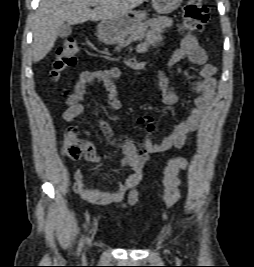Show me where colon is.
Returning <instances> with one entry per match:
<instances>
[{"label": "colon", "instance_id": "1", "mask_svg": "<svg viewBox=\"0 0 254 267\" xmlns=\"http://www.w3.org/2000/svg\"><path fill=\"white\" fill-rule=\"evenodd\" d=\"M182 29L187 32L201 31L209 20V8L204 0H187L182 8ZM78 43L74 39H67L61 47L58 48L53 59L50 77L58 81L65 71L76 63V53ZM62 153L70 160H79L86 158L91 160L96 152L91 143L78 136L75 127H68L65 130L62 139ZM188 161L184 158H172L169 160L165 169V194L164 203L171 207L176 203L180 196L178 172L186 169Z\"/></svg>", "mask_w": 254, "mask_h": 267}]
</instances>
